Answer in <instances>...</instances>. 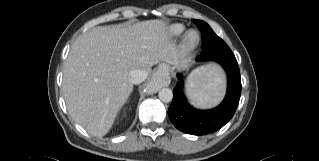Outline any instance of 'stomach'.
<instances>
[{
    "mask_svg": "<svg viewBox=\"0 0 319 161\" xmlns=\"http://www.w3.org/2000/svg\"><path fill=\"white\" fill-rule=\"evenodd\" d=\"M159 72L164 76L167 77L170 72V67L167 64H161L159 67Z\"/></svg>",
    "mask_w": 319,
    "mask_h": 161,
    "instance_id": "obj_1",
    "label": "stomach"
}]
</instances>
